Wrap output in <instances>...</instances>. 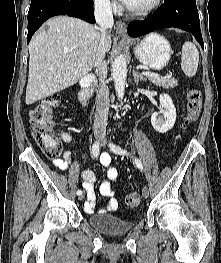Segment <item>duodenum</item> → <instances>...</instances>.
<instances>
[{
	"mask_svg": "<svg viewBox=\"0 0 221 263\" xmlns=\"http://www.w3.org/2000/svg\"><path fill=\"white\" fill-rule=\"evenodd\" d=\"M95 82V79L92 75H88L81 80L80 86L81 89L78 94L79 102L82 106L88 107L90 98L92 95V87Z\"/></svg>",
	"mask_w": 221,
	"mask_h": 263,
	"instance_id": "obj_1",
	"label": "duodenum"
}]
</instances>
